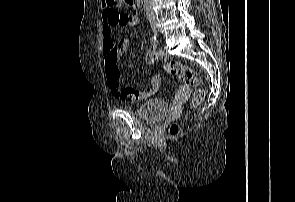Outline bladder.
<instances>
[{"mask_svg": "<svg viewBox=\"0 0 295 202\" xmlns=\"http://www.w3.org/2000/svg\"><path fill=\"white\" fill-rule=\"evenodd\" d=\"M169 111L168 103L161 98H153L139 106L136 115L146 122H157L164 118Z\"/></svg>", "mask_w": 295, "mask_h": 202, "instance_id": "31cf9c89", "label": "bladder"}]
</instances>
